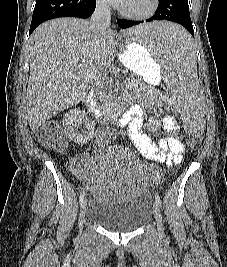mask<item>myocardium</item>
<instances>
[{
  "instance_id": "obj_1",
  "label": "myocardium",
  "mask_w": 227,
  "mask_h": 267,
  "mask_svg": "<svg viewBox=\"0 0 227 267\" xmlns=\"http://www.w3.org/2000/svg\"><path fill=\"white\" fill-rule=\"evenodd\" d=\"M159 4H160V0H150V4L148 8L144 11L136 12V11L126 9L125 7H122L120 9V12L126 18L133 19V20H144L155 14V12L157 11L159 7Z\"/></svg>"
}]
</instances>
